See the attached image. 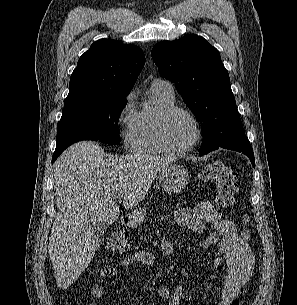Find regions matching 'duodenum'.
I'll return each mask as SVG.
<instances>
[{
  "label": "duodenum",
  "mask_w": 297,
  "mask_h": 305,
  "mask_svg": "<svg viewBox=\"0 0 297 305\" xmlns=\"http://www.w3.org/2000/svg\"><path fill=\"white\" fill-rule=\"evenodd\" d=\"M123 223L127 226L133 227L137 225V219L133 215H126L123 218Z\"/></svg>",
  "instance_id": "1"
}]
</instances>
